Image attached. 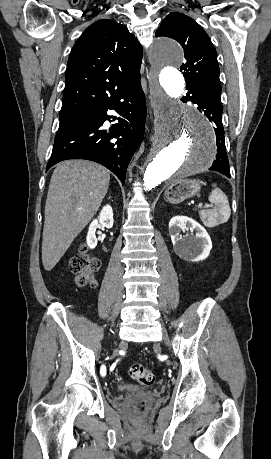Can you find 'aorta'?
Masks as SVG:
<instances>
[{"mask_svg": "<svg viewBox=\"0 0 271 459\" xmlns=\"http://www.w3.org/2000/svg\"><path fill=\"white\" fill-rule=\"evenodd\" d=\"M182 47L167 38L152 47L150 75L155 135L143 176L145 190L207 170L216 156L215 136L208 120L194 108H179L185 81L178 70Z\"/></svg>", "mask_w": 271, "mask_h": 459, "instance_id": "aorta-1", "label": "aorta"}]
</instances>
